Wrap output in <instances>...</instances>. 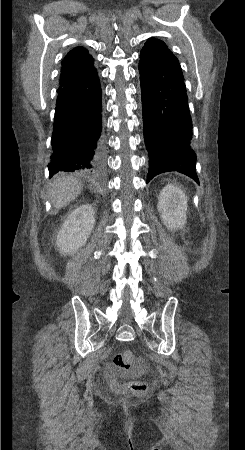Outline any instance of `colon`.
Wrapping results in <instances>:
<instances>
[{
  "instance_id": "5ec220e1",
  "label": "colon",
  "mask_w": 245,
  "mask_h": 450,
  "mask_svg": "<svg viewBox=\"0 0 245 450\" xmlns=\"http://www.w3.org/2000/svg\"><path fill=\"white\" fill-rule=\"evenodd\" d=\"M133 362V354L129 350L118 352L113 357V365L116 373L111 380V388L116 392L130 391L135 394H142L147 391V384L143 381L132 380L126 383L119 382L118 378L123 372L130 369Z\"/></svg>"
}]
</instances>
